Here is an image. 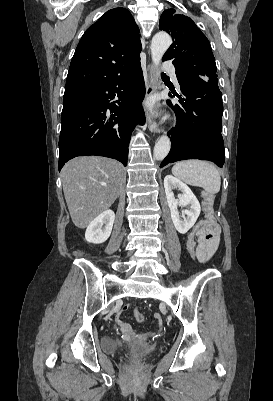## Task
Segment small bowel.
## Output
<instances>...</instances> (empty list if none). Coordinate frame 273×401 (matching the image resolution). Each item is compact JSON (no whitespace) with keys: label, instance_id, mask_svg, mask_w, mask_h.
Returning a JSON list of instances; mask_svg holds the SVG:
<instances>
[{"label":"small bowel","instance_id":"small-bowel-1","mask_svg":"<svg viewBox=\"0 0 273 401\" xmlns=\"http://www.w3.org/2000/svg\"><path fill=\"white\" fill-rule=\"evenodd\" d=\"M198 233H199V229H198V227H195L194 230L187 237L186 246H187V250L189 252L194 251V247H195L194 236H198ZM217 244H218V241H199L198 240V245L196 248V256H197L198 260L202 263L207 262L210 259V257L212 256V254L214 253V251L216 250ZM121 311L126 312L127 308L122 307ZM152 315L154 318L157 319L160 317L161 314L159 311L156 310L153 312ZM136 320L140 321V319H136ZM120 329L122 330L123 337L126 340H133L134 345L140 344L142 342L143 336L144 337L148 336L147 332H144L143 334H141L137 331H134L130 325L125 324V323L121 324ZM129 329L131 331V336H130ZM159 332L163 333L164 329L160 328Z\"/></svg>","mask_w":273,"mask_h":401}]
</instances>
